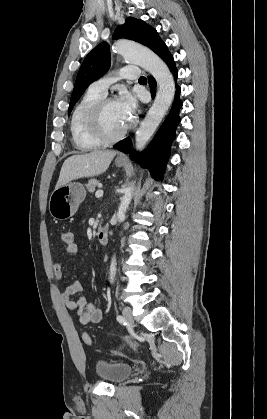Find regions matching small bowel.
<instances>
[{
    "mask_svg": "<svg viewBox=\"0 0 267 419\" xmlns=\"http://www.w3.org/2000/svg\"><path fill=\"white\" fill-rule=\"evenodd\" d=\"M77 252V244L73 247H66L61 254V258L55 261L53 270L57 279H61L65 273V259L74 257ZM81 291V283L78 280L71 281L61 296L63 304L67 309L76 312L82 324L99 323L103 317L102 311L81 296ZM75 296H77L76 299H74Z\"/></svg>",
    "mask_w": 267,
    "mask_h": 419,
    "instance_id": "1",
    "label": "small bowel"
}]
</instances>
